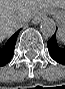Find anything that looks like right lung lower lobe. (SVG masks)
Here are the masks:
<instances>
[{
	"label": "right lung lower lobe",
	"instance_id": "obj_1",
	"mask_svg": "<svg viewBox=\"0 0 65 89\" xmlns=\"http://www.w3.org/2000/svg\"><path fill=\"white\" fill-rule=\"evenodd\" d=\"M18 32L0 43V67L6 65L13 57Z\"/></svg>",
	"mask_w": 65,
	"mask_h": 89
}]
</instances>
